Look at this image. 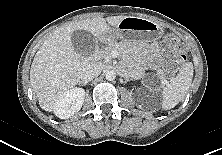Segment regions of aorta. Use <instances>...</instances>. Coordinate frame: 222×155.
Segmentation results:
<instances>
[{"label":"aorta","mask_w":222,"mask_h":155,"mask_svg":"<svg viewBox=\"0 0 222 155\" xmlns=\"http://www.w3.org/2000/svg\"><path fill=\"white\" fill-rule=\"evenodd\" d=\"M105 77L108 81H113L116 78V72L114 70H107Z\"/></svg>","instance_id":"1"}]
</instances>
